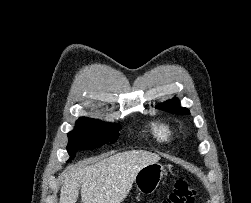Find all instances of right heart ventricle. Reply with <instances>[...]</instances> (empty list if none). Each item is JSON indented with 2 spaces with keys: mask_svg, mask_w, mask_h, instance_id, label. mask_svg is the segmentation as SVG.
Returning <instances> with one entry per match:
<instances>
[{
  "mask_svg": "<svg viewBox=\"0 0 251 203\" xmlns=\"http://www.w3.org/2000/svg\"><path fill=\"white\" fill-rule=\"evenodd\" d=\"M150 130L154 138L159 142L169 141L174 133L172 126L163 121H155L150 125Z\"/></svg>",
  "mask_w": 251,
  "mask_h": 203,
  "instance_id": "obj_1",
  "label": "right heart ventricle"
}]
</instances>
